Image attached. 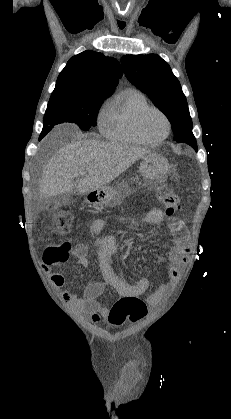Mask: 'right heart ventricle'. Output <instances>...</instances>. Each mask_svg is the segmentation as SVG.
<instances>
[{
	"label": "right heart ventricle",
	"instance_id": "e07e8e85",
	"mask_svg": "<svg viewBox=\"0 0 231 419\" xmlns=\"http://www.w3.org/2000/svg\"><path fill=\"white\" fill-rule=\"evenodd\" d=\"M149 106L146 97L137 90H128L110 107V119L105 131L106 137L116 143L143 145L136 133L135 118Z\"/></svg>",
	"mask_w": 231,
	"mask_h": 419
}]
</instances>
